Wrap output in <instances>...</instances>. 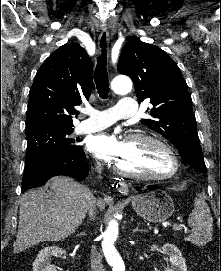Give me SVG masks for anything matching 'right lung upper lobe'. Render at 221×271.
Here are the masks:
<instances>
[{"mask_svg": "<svg viewBox=\"0 0 221 271\" xmlns=\"http://www.w3.org/2000/svg\"><path fill=\"white\" fill-rule=\"evenodd\" d=\"M92 64L78 43L53 52L38 70L31 87L26 131L46 125L73 126L72 116L81 98L92 89Z\"/></svg>", "mask_w": 221, "mask_h": 271, "instance_id": "right-lung-upper-lobe-1", "label": "right lung upper lobe"}]
</instances>
